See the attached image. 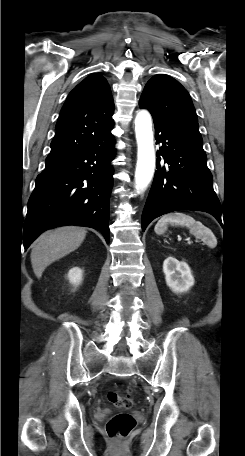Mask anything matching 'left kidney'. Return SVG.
Here are the masks:
<instances>
[{
    "mask_svg": "<svg viewBox=\"0 0 245 456\" xmlns=\"http://www.w3.org/2000/svg\"><path fill=\"white\" fill-rule=\"evenodd\" d=\"M163 272L166 284L175 293L186 292L194 285L191 269L186 262L170 256L163 263Z\"/></svg>",
    "mask_w": 245,
    "mask_h": 456,
    "instance_id": "5707ae66",
    "label": "left kidney"
}]
</instances>
